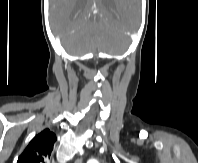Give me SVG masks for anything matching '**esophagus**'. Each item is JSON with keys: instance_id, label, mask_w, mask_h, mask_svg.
<instances>
[{"instance_id": "34e87169", "label": "esophagus", "mask_w": 198, "mask_h": 163, "mask_svg": "<svg viewBox=\"0 0 198 163\" xmlns=\"http://www.w3.org/2000/svg\"><path fill=\"white\" fill-rule=\"evenodd\" d=\"M75 163H82V158L76 159Z\"/></svg>"}]
</instances>
